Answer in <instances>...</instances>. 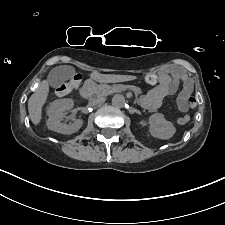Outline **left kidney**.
Here are the masks:
<instances>
[{
  "label": "left kidney",
  "mask_w": 225,
  "mask_h": 225,
  "mask_svg": "<svg viewBox=\"0 0 225 225\" xmlns=\"http://www.w3.org/2000/svg\"><path fill=\"white\" fill-rule=\"evenodd\" d=\"M149 123V131L153 137L166 140L172 138L176 132V128L173 123L167 121L161 113L151 115Z\"/></svg>",
  "instance_id": "left-kidney-1"
}]
</instances>
